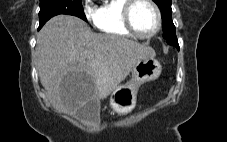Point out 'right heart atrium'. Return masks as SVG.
<instances>
[{"instance_id":"d8ad5b80","label":"right heart atrium","mask_w":227,"mask_h":142,"mask_svg":"<svg viewBox=\"0 0 227 142\" xmlns=\"http://www.w3.org/2000/svg\"><path fill=\"white\" fill-rule=\"evenodd\" d=\"M83 13L88 20H95L96 9L93 0H83Z\"/></svg>"}]
</instances>
